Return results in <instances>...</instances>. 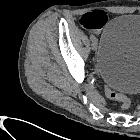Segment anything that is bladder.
Returning <instances> with one entry per match:
<instances>
[{
  "label": "bladder",
  "mask_w": 140,
  "mask_h": 140,
  "mask_svg": "<svg viewBox=\"0 0 140 140\" xmlns=\"http://www.w3.org/2000/svg\"><path fill=\"white\" fill-rule=\"evenodd\" d=\"M96 66L104 83L126 95L140 92V14H122L103 29Z\"/></svg>",
  "instance_id": "31cf9c89"
}]
</instances>
